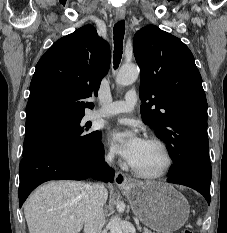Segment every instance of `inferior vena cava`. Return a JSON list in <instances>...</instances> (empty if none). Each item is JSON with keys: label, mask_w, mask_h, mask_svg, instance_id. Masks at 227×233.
I'll return each mask as SVG.
<instances>
[{"label": "inferior vena cava", "mask_w": 227, "mask_h": 233, "mask_svg": "<svg viewBox=\"0 0 227 233\" xmlns=\"http://www.w3.org/2000/svg\"><path fill=\"white\" fill-rule=\"evenodd\" d=\"M106 161L111 163L112 156L108 155ZM104 184L97 183L87 186L86 190V211L84 220L85 233H101L105 223L103 212Z\"/></svg>", "instance_id": "inferior-vena-cava-1"}]
</instances>
